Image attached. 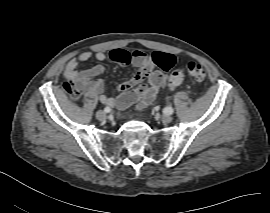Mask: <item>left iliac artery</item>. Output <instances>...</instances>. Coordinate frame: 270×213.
<instances>
[{
  "label": "left iliac artery",
  "mask_w": 270,
  "mask_h": 213,
  "mask_svg": "<svg viewBox=\"0 0 270 213\" xmlns=\"http://www.w3.org/2000/svg\"><path fill=\"white\" fill-rule=\"evenodd\" d=\"M165 112H166L167 114H173V113H174V109H173L172 107H167V108L165 109Z\"/></svg>",
  "instance_id": "1"
}]
</instances>
